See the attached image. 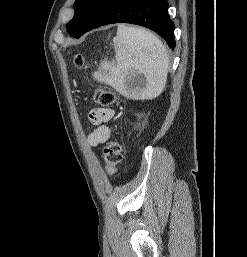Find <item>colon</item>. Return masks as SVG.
<instances>
[{
	"label": "colon",
	"instance_id": "1",
	"mask_svg": "<svg viewBox=\"0 0 247 257\" xmlns=\"http://www.w3.org/2000/svg\"><path fill=\"white\" fill-rule=\"evenodd\" d=\"M75 65L79 68L83 66L81 55L76 56ZM94 100L100 106L108 107L116 102V95L111 90L99 88L94 93ZM103 157L107 173L115 174L123 158L120 143L115 139L108 141L103 151Z\"/></svg>",
	"mask_w": 247,
	"mask_h": 257
}]
</instances>
